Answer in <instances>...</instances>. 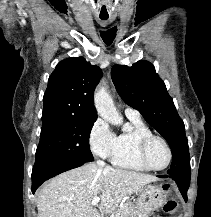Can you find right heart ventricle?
<instances>
[{"instance_id":"right-heart-ventricle-1","label":"right heart ventricle","mask_w":211,"mask_h":217,"mask_svg":"<svg viewBox=\"0 0 211 217\" xmlns=\"http://www.w3.org/2000/svg\"><path fill=\"white\" fill-rule=\"evenodd\" d=\"M127 117L132 128L117 136L115 149L110 160L117 167L136 171H148L149 169L140 160L138 148L141 139L152 134V132L139 117Z\"/></svg>"}]
</instances>
